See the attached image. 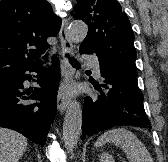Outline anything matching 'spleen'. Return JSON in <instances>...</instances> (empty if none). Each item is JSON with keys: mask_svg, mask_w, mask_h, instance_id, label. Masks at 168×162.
I'll return each instance as SVG.
<instances>
[{"mask_svg": "<svg viewBox=\"0 0 168 162\" xmlns=\"http://www.w3.org/2000/svg\"><path fill=\"white\" fill-rule=\"evenodd\" d=\"M106 143H114L116 146H120L129 162H153L145 145L125 128L106 131L97 139L95 146L101 147ZM100 162H114V159L108 153H103L100 156Z\"/></svg>", "mask_w": 168, "mask_h": 162, "instance_id": "1", "label": "spleen"}]
</instances>
